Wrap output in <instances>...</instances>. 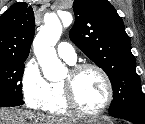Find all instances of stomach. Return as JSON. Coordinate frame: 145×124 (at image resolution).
Returning <instances> with one entry per match:
<instances>
[{
	"label": "stomach",
	"instance_id": "stomach-1",
	"mask_svg": "<svg viewBox=\"0 0 145 124\" xmlns=\"http://www.w3.org/2000/svg\"><path fill=\"white\" fill-rule=\"evenodd\" d=\"M79 124H106V123H104L99 119H87V120L80 121Z\"/></svg>",
	"mask_w": 145,
	"mask_h": 124
}]
</instances>
